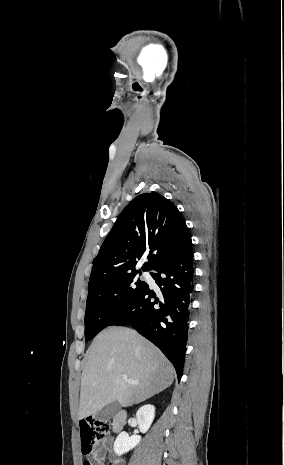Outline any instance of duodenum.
I'll return each instance as SVG.
<instances>
[{"instance_id": "1", "label": "duodenum", "mask_w": 284, "mask_h": 465, "mask_svg": "<svg viewBox=\"0 0 284 465\" xmlns=\"http://www.w3.org/2000/svg\"><path fill=\"white\" fill-rule=\"evenodd\" d=\"M127 412L124 409H119L115 412L112 419V430L115 434L120 433L125 427Z\"/></svg>"}]
</instances>
